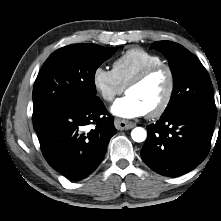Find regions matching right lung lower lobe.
Listing matches in <instances>:
<instances>
[{"mask_svg":"<svg viewBox=\"0 0 221 221\" xmlns=\"http://www.w3.org/2000/svg\"><path fill=\"white\" fill-rule=\"evenodd\" d=\"M100 99L86 106H65L37 127L41 150L49 165L70 181L86 178L99 166L117 132ZM95 124L88 133L84 126Z\"/></svg>","mask_w":221,"mask_h":221,"instance_id":"98d812e1","label":"right lung lower lobe"}]
</instances>
